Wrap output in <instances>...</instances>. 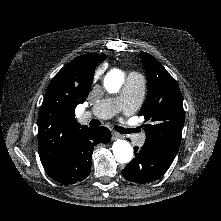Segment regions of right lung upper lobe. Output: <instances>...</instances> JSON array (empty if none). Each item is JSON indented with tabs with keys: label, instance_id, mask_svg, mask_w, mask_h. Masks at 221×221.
I'll return each instance as SVG.
<instances>
[{
	"label": "right lung upper lobe",
	"instance_id": "obj_1",
	"mask_svg": "<svg viewBox=\"0 0 221 221\" xmlns=\"http://www.w3.org/2000/svg\"><path fill=\"white\" fill-rule=\"evenodd\" d=\"M105 54L87 53L65 65L47 87L38 116L40 160L51 176L71 139L86 126L75 119V108L89 93L94 70Z\"/></svg>",
	"mask_w": 221,
	"mask_h": 221
}]
</instances>
